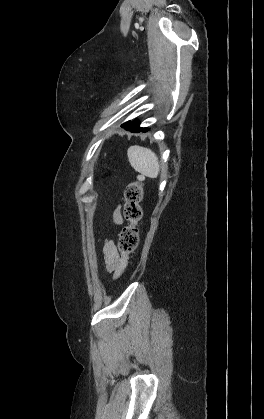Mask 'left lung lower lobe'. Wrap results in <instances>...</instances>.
Wrapping results in <instances>:
<instances>
[{
    "mask_svg": "<svg viewBox=\"0 0 264 419\" xmlns=\"http://www.w3.org/2000/svg\"><path fill=\"white\" fill-rule=\"evenodd\" d=\"M121 127L125 128L126 130H129L131 132H135V133L141 132V131L142 132L147 131V128H140L139 125H135L133 123L130 124L129 121L122 124Z\"/></svg>",
    "mask_w": 264,
    "mask_h": 419,
    "instance_id": "0a47b994",
    "label": "left lung lower lobe"
}]
</instances>
